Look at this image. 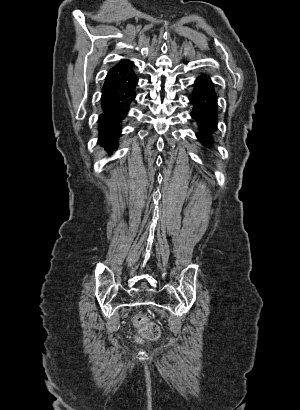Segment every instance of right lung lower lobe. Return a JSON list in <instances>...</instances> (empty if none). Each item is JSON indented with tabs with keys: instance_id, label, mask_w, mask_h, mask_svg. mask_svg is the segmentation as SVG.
<instances>
[{
	"instance_id": "obj_1",
	"label": "right lung lower lobe",
	"mask_w": 300,
	"mask_h": 410,
	"mask_svg": "<svg viewBox=\"0 0 300 410\" xmlns=\"http://www.w3.org/2000/svg\"><path fill=\"white\" fill-rule=\"evenodd\" d=\"M134 64L122 60L107 74L101 90V109L99 116L100 139L107 145L117 147L121 134V123L127 116L136 97L138 78L133 70Z\"/></svg>"
}]
</instances>
